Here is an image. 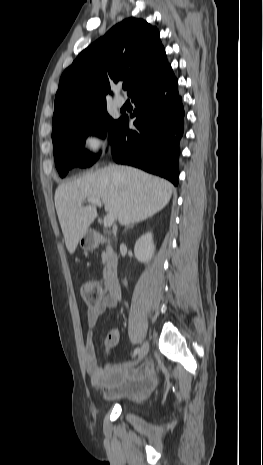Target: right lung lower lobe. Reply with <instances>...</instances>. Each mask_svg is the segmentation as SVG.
Listing matches in <instances>:
<instances>
[{"label": "right lung lower lobe", "instance_id": "obj_1", "mask_svg": "<svg viewBox=\"0 0 263 465\" xmlns=\"http://www.w3.org/2000/svg\"><path fill=\"white\" fill-rule=\"evenodd\" d=\"M171 66L130 95L136 108L135 130L128 116L119 119L109 141L117 163L139 167L178 184L179 142L184 130V108Z\"/></svg>", "mask_w": 263, "mask_h": 465}]
</instances>
